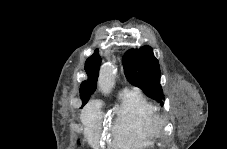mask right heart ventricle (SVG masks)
<instances>
[{
    "label": "right heart ventricle",
    "mask_w": 227,
    "mask_h": 149,
    "mask_svg": "<svg viewBox=\"0 0 227 149\" xmlns=\"http://www.w3.org/2000/svg\"><path fill=\"white\" fill-rule=\"evenodd\" d=\"M154 106L137 90H125L109 125L112 144L123 149L152 147L157 138Z\"/></svg>",
    "instance_id": "obj_1"
}]
</instances>
